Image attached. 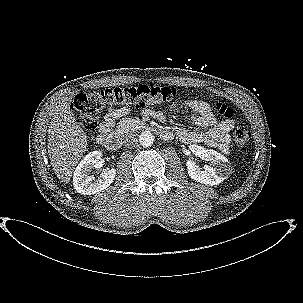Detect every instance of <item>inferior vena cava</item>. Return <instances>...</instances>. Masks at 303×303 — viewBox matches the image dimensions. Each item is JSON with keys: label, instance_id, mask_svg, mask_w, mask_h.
I'll return each instance as SVG.
<instances>
[{"label": "inferior vena cava", "instance_id": "1", "mask_svg": "<svg viewBox=\"0 0 303 303\" xmlns=\"http://www.w3.org/2000/svg\"><path fill=\"white\" fill-rule=\"evenodd\" d=\"M137 142H138V140L134 133H128L124 137V143H125V146H127V147L135 146V144H137Z\"/></svg>", "mask_w": 303, "mask_h": 303}]
</instances>
